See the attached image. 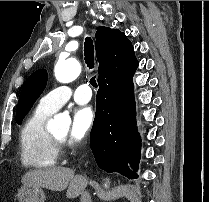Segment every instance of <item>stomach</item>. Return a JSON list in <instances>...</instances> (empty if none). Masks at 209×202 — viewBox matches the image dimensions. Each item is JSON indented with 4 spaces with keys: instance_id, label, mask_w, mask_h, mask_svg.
Masks as SVG:
<instances>
[{
    "instance_id": "stomach-1",
    "label": "stomach",
    "mask_w": 209,
    "mask_h": 202,
    "mask_svg": "<svg viewBox=\"0 0 209 202\" xmlns=\"http://www.w3.org/2000/svg\"><path fill=\"white\" fill-rule=\"evenodd\" d=\"M19 202H44L45 194L41 187L23 185L18 189Z\"/></svg>"
}]
</instances>
